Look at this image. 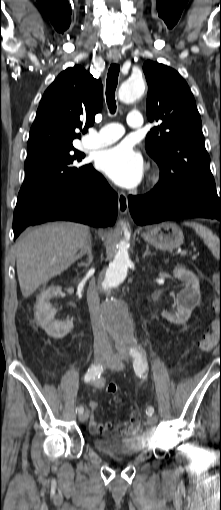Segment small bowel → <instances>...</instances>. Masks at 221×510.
Wrapping results in <instances>:
<instances>
[{
	"mask_svg": "<svg viewBox=\"0 0 221 510\" xmlns=\"http://www.w3.org/2000/svg\"><path fill=\"white\" fill-rule=\"evenodd\" d=\"M99 404L91 400L89 402V408L91 410L90 420H89V429L93 433L102 435V436H116L123 437L129 436L136 432L137 427L139 425V418L134 414L136 409L133 406L128 408V417L126 423L123 427L113 429L110 422L105 423H97L94 417V412L98 409Z\"/></svg>",
	"mask_w": 221,
	"mask_h": 510,
	"instance_id": "obj_1",
	"label": "small bowel"
}]
</instances>
